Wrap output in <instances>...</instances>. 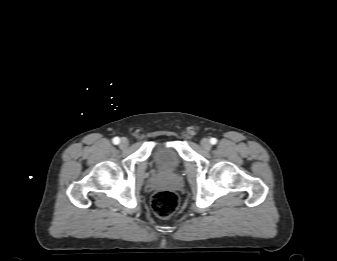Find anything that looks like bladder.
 Segmentation results:
<instances>
[{"instance_id": "31cf9c89", "label": "bladder", "mask_w": 337, "mask_h": 261, "mask_svg": "<svg viewBox=\"0 0 337 261\" xmlns=\"http://www.w3.org/2000/svg\"><path fill=\"white\" fill-rule=\"evenodd\" d=\"M153 160L157 167L164 171H175L181 165V159L173 147L158 145L153 151Z\"/></svg>"}]
</instances>
